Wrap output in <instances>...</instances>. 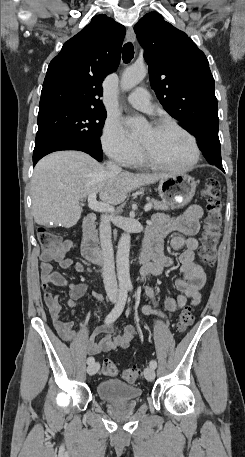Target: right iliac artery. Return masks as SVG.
<instances>
[{
  "label": "right iliac artery",
  "mask_w": 245,
  "mask_h": 457,
  "mask_svg": "<svg viewBox=\"0 0 245 457\" xmlns=\"http://www.w3.org/2000/svg\"><path fill=\"white\" fill-rule=\"evenodd\" d=\"M127 296H128V289L126 287H121L119 289L118 300H117L114 308L112 309V311L107 315V317L105 319L106 324H110V323L114 322L121 315V313L125 307V304H126ZM94 361H95V359L92 356L87 358L88 364H91Z\"/></svg>",
  "instance_id": "right-iliac-artery-1"
}]
</instances>
